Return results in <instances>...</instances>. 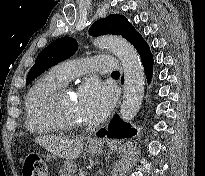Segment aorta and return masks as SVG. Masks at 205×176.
Listing matches in <instances>:
<instances>
[{"label": "aorta", "instance_id": "aorta-1", "mask_svg": "<svg viewBox=\"0 0 205 176\" xmlns=\"http://www.w3.org/2000/svg\"><path fill=\"white\" fill-rule=\"evenodd\" d=\"M97 47L110 49L121 61L124 69V96L120 115L124 121L132 120L142 104L145 77L136 49L121 36L106 35L94 40Z\"/></svg>", "mask_w": 205, "mask_h": 176}]
</instances>
